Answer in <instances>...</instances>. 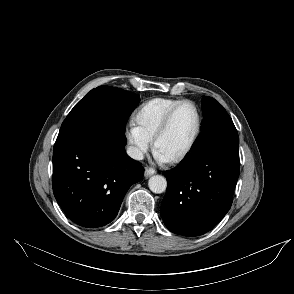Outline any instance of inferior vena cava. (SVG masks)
<instances>
[{
    "mask_svg": "<svg viewBox=\"0 0 294 294\" xmlns=\"http://www.w3.org/2000/svg\"><path fill=\"white\" fill-rule=\"evenodd\" d=\"M127 154L129 157L135 160H142L144 157L143 152L139 148L134 146H129L127 148Z\"/></svg>",
    "mask_w": 294,
    "mask_h": 294,
    "instance_id": "1",
    "label": "inferior vena cava"
}]
</instances>
